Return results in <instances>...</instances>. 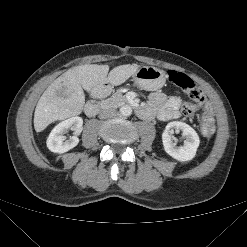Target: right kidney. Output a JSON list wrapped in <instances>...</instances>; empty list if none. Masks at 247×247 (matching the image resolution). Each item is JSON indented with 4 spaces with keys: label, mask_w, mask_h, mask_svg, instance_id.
Returning <instances> with one entry per match:
<instances>
[{
    "label": "right kidney",
    "mask_w": 247,
    "mask_h": 247,
    "mask_svg": "<svg viewBox=\"0 0 247 247\" xmlns=\"http://www.w3.org/2000/svg\"><path fill=\"white\" fill-rule=\"evenodd\" d=\"M82 125L83 119L78 116L71 117L56 125L47 138L46 144L48 149L51 152L61 154L77 146L79 143L77 135L82 132ZM68 130H72L75 135L65 140L64 134L68 132Z\"/></svg>",
    "instance_id": "1"
}]
</instances>
